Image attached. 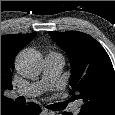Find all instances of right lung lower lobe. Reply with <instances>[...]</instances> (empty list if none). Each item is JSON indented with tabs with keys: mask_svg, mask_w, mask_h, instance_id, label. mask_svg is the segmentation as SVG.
Listing matches in <instances>:
<instances>
[{
	"mask_svg": "<svg viewBox=\"0 0 115 115\" xmlns=\"http://www.w3.org/2000/svg\"><path fill=\"white\" fill-rule=\"evenodd\" d=\"M40 112V106L32 102L27 105L14 102L1 109V115H37Z\"/></svg>",
	"mask_w": 115,
	"mask_h": 115,
	"instance_id": "98d812e1",
	"label": "right lung lower lobe"
}]
</instances>
